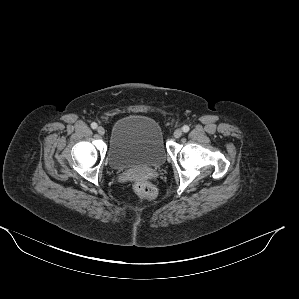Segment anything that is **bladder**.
I'll use <instances>...</instances> for the list:
<instances>
[{"label":"bladder","instance_id":"bladder-1","mask_svg":"<svg viewBox=\"0 0 299 299\" xmlns=\"http://www.w3.org/2000/svg\"><path fill=\"white\" fill-rule=\"evenodd\" d=\"M166 158L162 130L153 118L132 114L113 124L107 151V160L112 169L160 167Z\"/></svg>","mask_w":299,"mask_h":299}]
</instances>
